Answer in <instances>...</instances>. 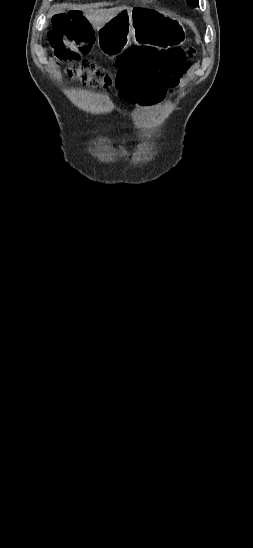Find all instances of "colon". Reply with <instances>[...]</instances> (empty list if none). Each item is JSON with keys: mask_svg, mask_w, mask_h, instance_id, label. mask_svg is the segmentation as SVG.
I'll use <instances>...</instances> for the list:
<instances>
[{"mask_svg": "<svg viewBox=\"0 0 253 548\" xmlns=\"http://www.w3.org/2000/svg\"><path fill=\"white\" fill-rule=\"evenodd\" d=\"M55 36L50 43L51 53L58 61L68 63L67 75L91 88L110 90L116 86L130 105H164L169 92L174 98L188 69L187 58L195 50L172 48L161 51L149 47H131L117 60L118 71L81 58L94 42L93 30L79 11L53 17Z\"/></svg>", "mask_w": 253, "mask_h": 548, "instance_id": "1", "label": "colon"}]
</instances>
